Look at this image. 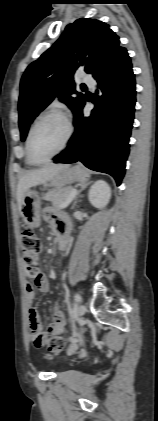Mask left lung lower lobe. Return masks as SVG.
<instances>
[{
	"label": "left lung lower lobe",
	"instance_id": "1",
	"mask_svg": "<svg viewBox=\"0 0 158 421\" xmlns=\"http://www.w3.org/2000/svg\"><path fill=\"white\" fill-rule=\"evenodd\" d=\"M98 82L95 108L84 117H74L76 130L55 163L82 162L86 167L108 173L117 185L125 173L135 106V78L127 50L120 47L109 63L93 76Z\"/></svg>",
	"mask_w": 158,
	"mask_h": 421
}]
</instances>
